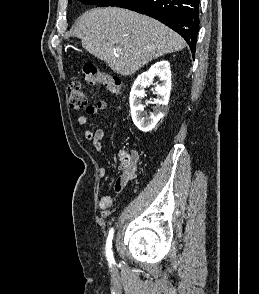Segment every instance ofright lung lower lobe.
<instances>
[{"label":"right lung lower lobe","instance_id":"1","mask_svg":"<svg viewBox=\"0 0 259 294\" xmlns=\"http://www.w3.org/2000/svg\"><path fill=\"white\" fill-rule=\"evenodd\" d=\"M164 23L188 43L195 53L199 31V0H130L122 6Z\"/></svg>","mask_w":259,"mask_h":294}]
</instances>
